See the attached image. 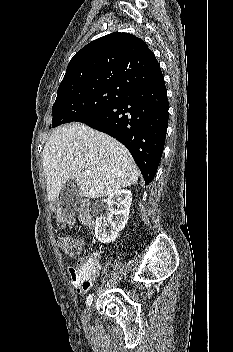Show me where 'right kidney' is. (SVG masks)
<instances>
[{
    "label": "right kidney",
    "instance_id": "right-kidney-1",
    "mask_svg": "<svg viewBox=\"0 0 233 352\" xmlns=\"http://www.w3.org/2000/svg\"><path fill=\"white\" fill-rule=\"evenodd\" d=\"M131 202L132 194L126 189H119L108 196L106 212L96 218L95 236L98 241L110 243L118 237L128 221Z\"/></svg>",
    "mask_w": 233,
    "mask_h": 352
}]
</instances>
